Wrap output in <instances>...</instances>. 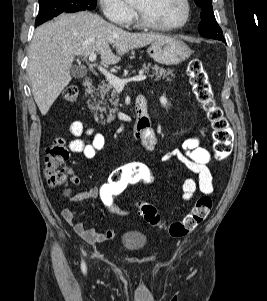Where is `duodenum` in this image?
Returning <instances> with one entry per match:
<instances>
[{
  "instance_id": "1",
  "label": "duodenum",
  "mask_w": 267,
  "mask_h": 301,
  "mask_svg": "<svg viewBox=\"0 0 267 301\" xmlns=\"http://www.w3.org/2000/svg\"><path fill=\"white\" fill-rule=\"evenodd\" d=\"M83 87L86 93L91 94L93 92V84L91 80H84ZM135 112L136 120L132 136L133 138L138 139L143 131L151 127V119L147 110V100L144 95L137 96L135 100Z\"/></svg>"
}]
</instances>
